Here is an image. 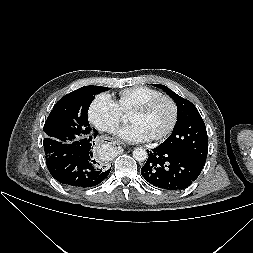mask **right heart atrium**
I'll return each instance as SVG.
<instances>
[{
  "instance_id": "1",
  "label": "right heart atrium",
  "mask_w": 253,
  "mask_h": 253,
  "mask_svg": "<svg viewBox=\"0 0 253 253\" xmlns=\"http://www.w3.org/2000/svg\"><path fill=\"white\" fill-rule=\"evenodd\" d=\"M88 117L99 131L114 133L123 120L124 113L110 95L102 93L91 102Z\"/></svg>"
}]
</instances>
